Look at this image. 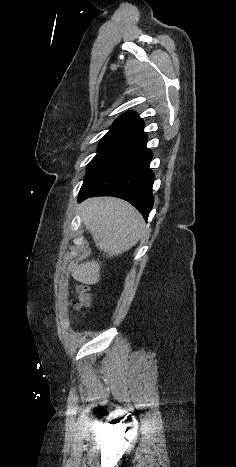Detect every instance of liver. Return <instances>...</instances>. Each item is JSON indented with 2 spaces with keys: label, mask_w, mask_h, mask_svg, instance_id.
Returning a JSON list of instances; mask_svg holds the SVG:
<instances>
[{
  "label": "liver",
  "mask_w": 236,
  "mask_h": 467,
  "mask_svg": "<svg viewBox=\"0 0 236 467\" xmlns=\"http://www.w3.org/2000/svg\"><path fill=\"white\" fill-rule=\"evenodd\" d=\"M81 216L96 247L107 257L118 256L137 244L145 230L141 214L128 202L111 197L86 200ZM100 262L87 261L70 266L72 277L83 284L94 285L100 280Z\"/></svg>",
  "instance_id": "obj_1"
}]
</instances>
